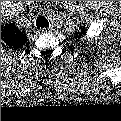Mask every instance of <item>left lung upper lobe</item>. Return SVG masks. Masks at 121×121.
Instances as JSON below:
<instances>
[{"label":"left lung upper lobe","instance_id":"left-lung-upper-lobe-1","mask_svg":"<svg viewBox=\"0 0 121 121\" xmlns=\"http://www.w3.org/2000/svg\"><path fill=\"white\" fill-rule=\"evenodd\" d=\"M81 31H82L83 33H85V29H84V28H83ZM82 32H81V33H82Z\"/></svg>","mask_w":121,"mask_h":121}]
</instances>
